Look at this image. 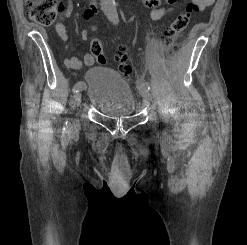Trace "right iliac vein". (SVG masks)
I'll use <instances>...</instances> for the list:
<instances>
[{"mask_svg": "<svg viewBox=\"0 0 247 245\" xmlns=\"http://www.w3.org/2000/svg\"><path fill=\"white\" fill-rule=\"evenodd\" d=\"M84 88V87H83ZM82 88V89H83ZM81 90H79V91H77L75 94H74V103H75V105H79L80 104V102H81V92H80ZM78 125V120H76L75 121V126H77Z\"/></svg>", "mask_w": 247, "mask_h": 245, "instance_id": "1", "label": "right iliac vein"}]
</instances>
